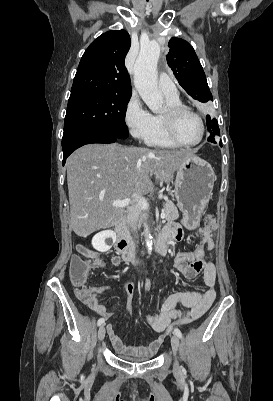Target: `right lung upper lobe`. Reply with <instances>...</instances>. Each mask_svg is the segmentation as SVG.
<instances>
[{"label": "right lung upper lobe", "instance_id": "cb5924a9", "mask_svg": "<svg viewBox=\"0 0 273 401\" xmlns=\"http://www.w3.org/2000/svg\"><path fill=\"white\" fill-rule=\"evenodd\" d=\"M131 40L125 30L109 31L95 39L79 63L71 95L104 93L132 95L125 67Z\"/></svg>", "mask_w": 273, "mask_h": 401}]
</instances>
